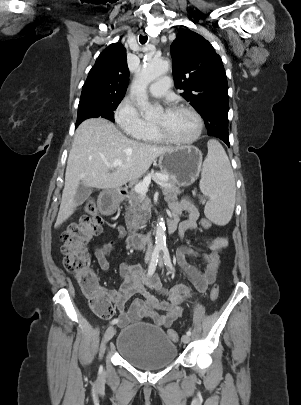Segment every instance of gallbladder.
I'll use <instances>...</instances> for the list:
<instances>
[{
  "instance_id": "gallbladder-1",
  "label": "gallbladder",
  "mask_w": 301,
  "mask_h": 405,
  "mask_svg": "<svg viewBox=\"0 0 301 405\" xmlns=\"http://www.w3.org/2000/svg\"><path fill=\"white\" fill-rule=\"evenodd\" d=\"M91 192H92L91 187L80 184L78 186V189H77L76 194H75V202H76V204L77 205L83 204L88 199Z\"/></svg>"
}]
</instances>
